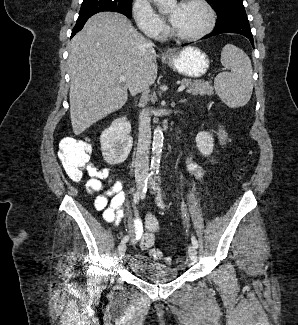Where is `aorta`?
<instances>
[{
  "label": "aorta",
  "mask_w": 298,
  "mask_h": 325,
  "mask_svg": "<svg viewBox=\"0 0 298 325\" xmlns=\"http://www.w3.org/2000/svg\"><path fill=\"white\" fill-rule=\"evenodd\" d=\"M153 2H155L157 6H161V8H172V6H176L177 4V0H153ZM163 138V130L161 126H157V128L154 130L152 142V156L150 167L152 173H155V171H159L160 169Z\"/></svg>",
  "instance_id": "aorta-1"
}]
</instances>
